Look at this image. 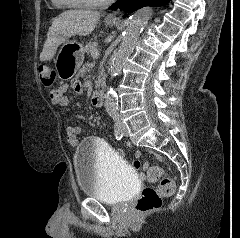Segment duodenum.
<instances>
[{"mask_svg":"<svg viewBox=\"0 0 240 238\" xmlns=\"http://www.w3.org/2000/svg\"><path fill=\"white\" fill-rule=\"evenodd\" d=\"M105 91L103 87L98 88L93 94L92 102L95 106H101L104 102Z\"/></svg>","mask_w":240,"mask_h":238,"instance_id":"410a0bca","label":"duodenum"}]
</instances>
